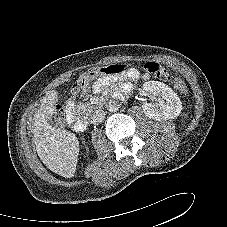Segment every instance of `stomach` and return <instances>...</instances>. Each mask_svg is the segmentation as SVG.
I'll return each instance as SVG.
<instances>
[{"mask_svg":"<svg viewBox=\"0 0 227 227\" xmlns=\"http://www.w3.org/2000/svg\"><path fill=\"white\" fill-rule=\"evenodd\" d=\"M95 73H96V74L101 73V72H100V69H97V70L95 71Z\"/></svg>","mask_w":227,"mask_h":227,"instance_id":"stomach-1","label":"stomach"}]
</instances>
